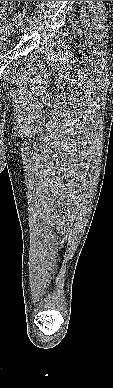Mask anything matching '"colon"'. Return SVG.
<instances>
[{"instance_id": "1", "label": "colon", "mask_w": 113, "mask_h": 388, "mask_svg": "<svg viewBox=\"0 0 113 388\" xmlns=\"http://www.w3.org/2000/svg\"><path fill=\"white\" fill-rule=\"evenodd\" d=\"M0 4H4L3 2L0 1ZM22 20V15H16L12 21L15 22V23H19L20 21Z\"/></svg>"}]
</instances>
